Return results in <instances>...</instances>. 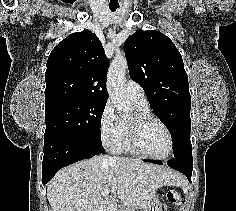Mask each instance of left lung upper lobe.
<instances>
[{"label": "left lung upper lobe", "instance_id": "1", "mask_svg": "<svg viewBox=\"0 0 236 211\" xmlns=\"http://www.w3.org/2000/svg\"><path fill=\"white\" fill-rule=\"evenodd\" d=\"M132 80L140 84L171 133L175 158H192L190 93L182 56L166 35L138 30L124 44Z\"/></svg>", "mask_w": 236, "mask_h": 211}]
</instances>
